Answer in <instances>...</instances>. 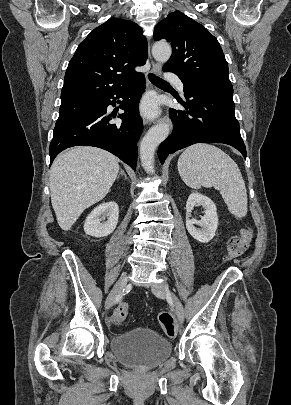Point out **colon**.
<instances>
[{"instance_id":"obj_1","label":"colon","mask_w":291,"mask_h":405,"mask_svg":"<svg viewBox=\"0 0 291 405\" xmlns=\"http://www.w3.org/2000/svg\"><path fill=\"white\" fill-rule=\"evenodd\" d=\"M252 239V231L250 228H244L239 233L233 236L227 245V253L222 258V262L232 261L243 255L249 247ZM129 312V304L127 302L120 303L109 318L110 325H119L127 317ZM158 321L169 338H174L177 335V326L173 315L168 311H161L158 314Z\"/></svg>"}]
</instances>
